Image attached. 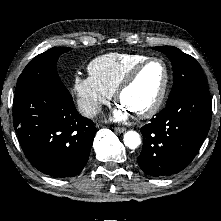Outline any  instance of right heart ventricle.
Wrapping results in <instances>:
<instances>
[{"mask_svg":"<svg viewBox=\"0 0 221 221\" xmlns=\"http://www.w3.org/2000/svg\"><path fill=\"white\" fill-rule=\"evenodd\" d=\"M147 58L143 54L108 53L93 59L87 69L96 83L112 95L128 72Z\"/></svg>","mask_w":221,"mask_h":221,"instance_id":"right-heart-ventricle-1","label":"right heart ventricle"}]
</instances>
